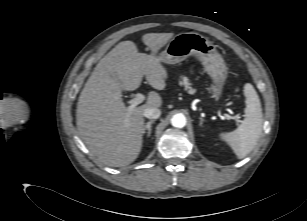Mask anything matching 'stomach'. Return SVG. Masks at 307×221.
<instances>
[{"label":"stomach","instance_id":"1","mask_svg":"<svg viewBox=\"0 0 307 221\" xmlns=\"http://www.w3.org/2000/svg\"><path fill=\"white\" fill-rule=\"evenodd\" d=\"M191 55H196L202 62L205 72L213 80L212 97L216 101L219 100L228 69L222 56L208 38L195 32L177 34L157 57L161 63L173 65L182 62Z\"/></svg>","mask_w":307,"mask_h":221}]
</instances>
